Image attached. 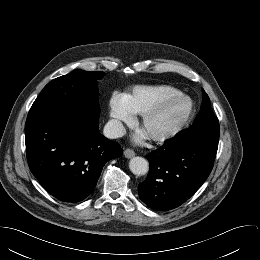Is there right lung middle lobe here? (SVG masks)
Wrapping results in <instances>:
<instances>
[{"mask_svg": "<svg viewBox=\"0 0 260 260\" xmlns=\"http://www.w3.org/2000/svg\"><path fill=\"white\" fill-rule=\"evenodd\" d=\"M104 72L74 70L49 82L32 107L42 105L78 106L98 109L97 80Z\"/></svg>", "mask_w": 260, "mask_h": 260, "instance_id": "1", "label": "right lung middle lobe"}]
</instances>
